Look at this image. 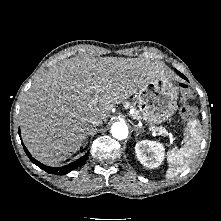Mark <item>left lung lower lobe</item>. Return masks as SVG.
<instances>
[{
  "instance_id": "1",
  "label": "left lung lower lobe",
  "mask_w": 221,
  "mask_h": 221,
  "mask_svg": "<svg viewBox=\"0 0 221 221\" xmlns=\"http://www.w3.org/2000/svg\"><path fill=\"white\" fill-rule=\"evenodd\" d=\"M176 72H177L182 78L186 79L185 76H184L183 74H181L179 71L176 70Z\"/></svg>"
}]
</instances>
